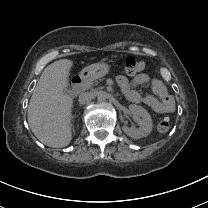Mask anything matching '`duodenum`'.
I'll return each mask as SVG.
<instances>
[{
	"label": "duodenum",
	"instance_id": "410a0bca",
	"mask_svg": "<svg viewBox=\"0 0 208 208\" xmlns=\"http://www.w3.org/2000/svg\"><path fill=\"white\" fill-rule=\"evenodd\" d=\"M87 79L83 76H75L72 80L71 93L79 94L85 87Z\"/></svg>",
	"mask_w": 208,
	"mask_h": 208
}]
</instances>
